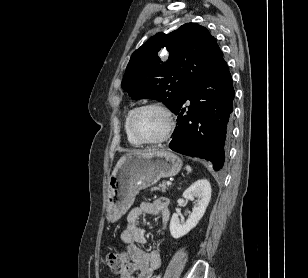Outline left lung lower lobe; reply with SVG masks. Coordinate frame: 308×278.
Segmentation results:
<instances>
[{
    "instance_id": "1",
    "label": "left lung lower lobe",
    "mask_w": 308,
    "mask_h": 278,
    "mask_svg": "<svg viewBox=\"0 0 308 278\" xmlns=\"http://www.w3.org/2000/svg\"><path fill=\"white\" fill-rule=\"evenodd\" d=\"M234 95L232 77L222 59L193 84L173 111L178 118L169 147L181 154L211 161L214 170H220L231 134ZM187 100L191 105L186 112Z\"/></svg>"
}]
</instances>
